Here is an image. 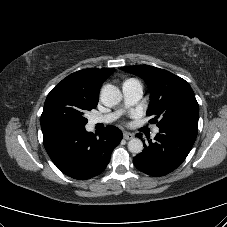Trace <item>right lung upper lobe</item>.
<instances>
[{"label": "right lung upper lobe", "instance_id": "1", "mask_svg": "<svg viewBox=\"0 0 227 227\" xmlns=\"http://www.w3.org/2000/svg\"><path fill=\"white\" fill-rule=\"evenodd\" d=\"M114 71L112 68L80 70L67 76L57 87H63L88 101L98 103L100 87Z\"/></svg>", "mask_w": 227, "mask_h": 227}]
</instances>
